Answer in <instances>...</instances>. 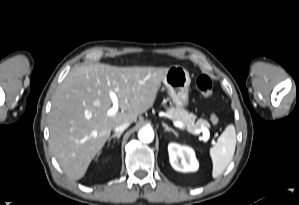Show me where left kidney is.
Listing matches in <instances>:
<instances>
[{
	"mask_svg": "<svg viewBox=\"0 0 299 205\" xmlns=\"http://www.w3.org/2000/svg\"><path fill=\"white\" fill-rule=\"evenodd\" d=\"M168 152L170 164L175 170L180 172H195L198 170L199 164L191 147L170 143Z\"/></svg>",
	"mask_w": 299,
	"mask_h": 205,
	"instance_id": "obj_1",
	"label": "left kidney"
}]
</instances>
